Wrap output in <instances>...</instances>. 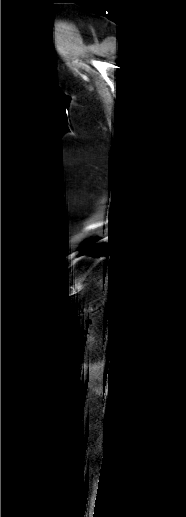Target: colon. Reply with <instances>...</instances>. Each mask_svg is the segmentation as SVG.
Masks as SVG:
<instances>
[{
	"label": "colon",
	"mask_w": 186,
	"mask_h": 517,
	"mask_svg": "<svg viewBox=\"0 0 186 517\" xmlns=\"http://www.w3.org/2000/svg\"><path fill=\"white\" fill-rule=\"evenodd\" d=\"M91 325H92V319L88 318L86 320L85 327H84L83 331H84V334L86 335V337L88 339L89 345L91 344V341H92Z\"/></svg>",
	"instance_id": "5ec220e1"
}]
</instances>
